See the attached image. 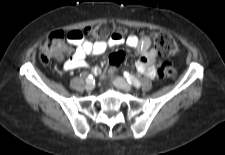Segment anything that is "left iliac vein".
<instances>
[{
  "mask_svg": "<svg viewBox=\"0 0 225 155\" xmlns=\"http://www.w3.org/2000/svg\"><path fill=\"white\" fill-rule=\"evenodd\" d=\"M114 83L119 85L122 89H124L127 92L132 91V86L126 80H124L123 78L115 77Z\"/></svg>",
  "mask_w": 225,
  "mask_h": 155,
  "instance_id": "left-iliac-vein-1",
  "label": "left iliac vein"
}]
</instances>
